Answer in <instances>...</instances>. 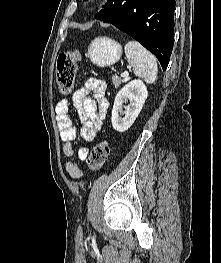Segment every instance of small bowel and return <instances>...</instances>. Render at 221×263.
Wrapping results in <instances>:
<instances>
[{"instance_id": "small-bowel-1", "label": "small bowel", "mask_w": 221, "mask_h": 263, "mask_svg": "<svg viewBox=\"0 0 221 263\" xmlns=\"http://www.w3.org/2000/svg\"><path fill=\"white\" fill-rule=\"evenodd\" d=\"M105 90L106 86L103 81L89 79L72 96L73 106L81 121L80 134L85 141L94 139L106 116L108 101L105 97ZM68 111L69 106L66 99L57 104V125L64 143V155L69 159L65 165V172L72 179H79L82 177L79 161L87 158L88 148L80 147L75 154L77 128L68 115Z\"/></svg>"}]
</instances>
